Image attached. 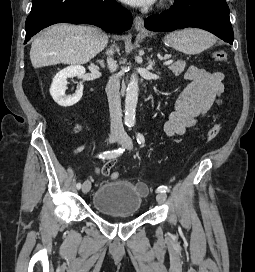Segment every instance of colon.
Instances as JSON below:
<instances>
[{"label":"colon","instance_id":"1","mask_svg":"<svg viewBox=\"0 0 255 272\" xmlns=\"http://www.w3.org/2000/svg\"><path fill=\"white\" fill-rule=\"evenodd\" d=\"M213 59L219 63L227 62V53L224 50H217L213 53ZM221 126L219 123L213 124L206 134V143H211L216 139L218 134L220 133ZM119 178L118 172L111 173V179L116 180ZM147 190L144 186L141 185V192L145 193Z\"/></svg>","mask_w":255,"mask_h":272}]
</instances>
